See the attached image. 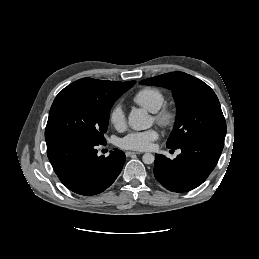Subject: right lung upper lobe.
I'll use <instances>...</instances> for the list:
<instances>
[{
	"label": "right lung upper lobe",
	"mask_w": 259,
	"mask_h": 259,
	"mask_svg": "<svg viewBox=\"0 0 259 259\" xmlns=\"http://www.w3.org/2000/svg\"><path fill=\"white\" fill-rule=\"evenodd\" d=\"M127 83L82 78L68 85L63 90L77 91L100 100H106L118 95Z\"/></svg>",
	"instance_id": "right-lung-upper-lobe-1"
}]
</instances>
